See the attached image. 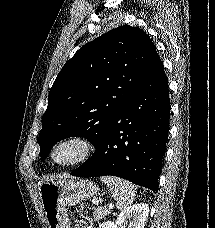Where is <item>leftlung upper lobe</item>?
Segmentation results:
<instances>
[{
    "mask_svg": "<svg viewBox=\"0 0 215 228\" xmlns=\"http://www.w3.org/2000/svg\"><path fill=\"white\" fill-rule=\"evenodd\" d=\"M157 55L150 37L128 25L82 46L50 90L37 139L41 160L66 137H85L96 146Z\"/></svg>",
    "mask_w": 215,
    "mask_h": 228,
    "instance_id": "left-lung-upper-lobe-1",
    "label": "left lung upper lobe"
}]
</instances>
